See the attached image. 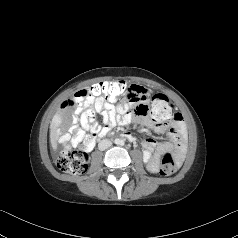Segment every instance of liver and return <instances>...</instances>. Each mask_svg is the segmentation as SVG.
I'll use <instances>...</instances> for the list:
<instances>
[{
  "mask_svg": "<svg viewBox=\"0 0 238 238\" xmlns=\"http://www.w3.org/2000/svg\"><path fill=\"white\" fill-rule=\"evenodd\" d=\"M55 132H56V130H55V128H53L51 130V145L54 150L57 149V141H56V133Z\"/></svg>",
  "mask_w": 238,
  "mask_h": 238,
  "instance_id": "1",
  "label": "liver"
}]
</instances>
